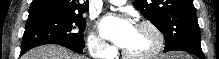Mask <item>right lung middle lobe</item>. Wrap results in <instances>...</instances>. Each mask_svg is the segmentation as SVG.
<instances>
[{"label": "right lung middle lobe", "instance_id": "dd1d6c3e", "mask_svg": "<svg viewBox=\"0 0 219 59\" xmlns=\"http://www.w3.org/2000/svg\"><path fill=\"white\" fill-rule=\"evenodd\" d=\"M86 22L81 14L29 12L22 38L21 52L39 45L58 44L85 47L83 31Z\"/></svg>", "mask_w": 219, "mask_h": 59}]
</instances>
